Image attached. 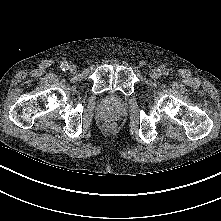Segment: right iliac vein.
Masks as SVG:
<instances>
[{
  "label": "right iliac vein",
  "mask_w": 221,
  "mask_h": 221,
  "mask_svg": "<svg viewBox=\"0 0 221 221\" xmlns=\"http://www.w3.org/2000/svg\"><path fill=\"white\" fill-rule=\"evenodd\" d=\"M76 70H77L76 65L72 64V65L69 66V71H70L71 73H75Z\"/></svg>",
  "instance_id": "right-iliac-vein-1"
}]
</instances>
